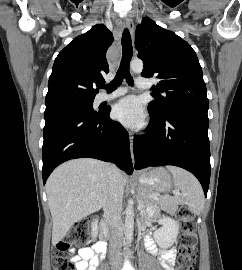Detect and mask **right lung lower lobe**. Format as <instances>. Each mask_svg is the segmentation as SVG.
<instances>
[{
	"mask_svg": "<svg viewBox=\"0 0 242 270\" xmlns=\"http://www.w3.org/2000/svg\"><path fill=\"white\" fill-rule=\"evenodd\" d=\"M110 109L91 113L81 105L45 113L42 147V176L45 184L61 163L75 158L114 162L132 174L129 135L122 125L109 118Z\"/></svg>",
	"mask_w": 242,
	"mask_h": 270,
	"instance_id": "obj_1",
	"label": "right lung lower lobe"
}]
</instances>
